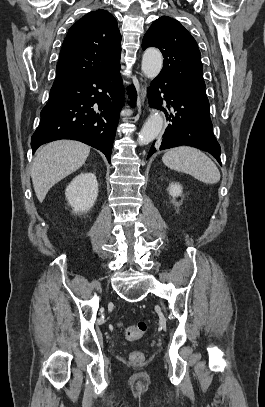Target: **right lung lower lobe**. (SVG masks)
Returning a JSON list of instances; mask_svg holds the SVG:
<instances>
[{"label":"right lung lower lobe","instance_id":"obj_1","mask_svg":"<svg viewBox=\"0 0 265 407\" xmlns=\"http://www.w3.org/2000/svg\"><path fill=\"white\" fill-rule=\"evenodd\" d=\"M128 93L134 105L135 88ZM122 104L120 64L50 94L31 138L33 152L47 142L74 139L100 150L110 162Z\"/></svg>","mask_w":265,"mask_h":407}]
</instances>
